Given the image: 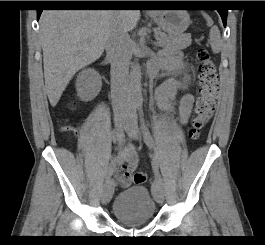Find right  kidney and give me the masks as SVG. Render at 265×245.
<instances>
[{
    "label": "right kidney",
    "instance_id": "obj_1",
    "mask_svg": "<svg viewBox=\"0 0 265 245\" xmlns=\"http://www.w3.org/2000/svg\"><path fill=\"white\" fill-rule=\"evenodd\" d=\"M101 87V76L92 68L82 70L77 76L76 89L78 96L83 101L94 99L99 94Z\"/></svg>",
    "mask_w": 265,
    "mask_h": 245
}]
</instances>
